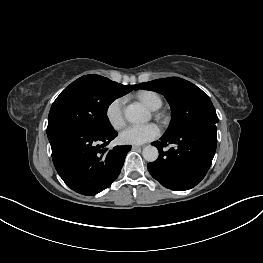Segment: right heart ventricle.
<instances>
[{
  "instance_id": "e07e8e85",
  "label": "right heart ventricle",
  "mask_w": 263,
  "mask_h": 263,
  "mask_svg": "<svg viewBox=\"0 0 263 263\" xmlns=\"http://www.w3.org/2000/svg\"><path fill=\"white\" fill-rule=\"evenodd\" d=\"M136 97L151 110H157L162 106V98L154 91L142 90L136 94Z\"/></svg>"
}]
</instances>
